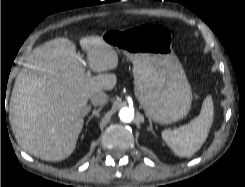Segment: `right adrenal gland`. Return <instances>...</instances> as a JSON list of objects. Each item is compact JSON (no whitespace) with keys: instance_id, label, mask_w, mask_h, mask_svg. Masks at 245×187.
Segmentation results:
<instances>
[{"instance_id":"1","label":"right adrenal gland","mask_w":245,"mask_h":187,"mask_svg":"<svg viewBox=\"0 0 245 187\" xmlns=\"http://www.w3.org/2000/svg\"><path fill=\"white\" fill-rule=\"evenodd\" d=\"M102 110V107H99L98 109H94L92 111V114L89 116L88 120L86 121V125H88V123L90 122V120L95 116V117H99V112Z\"/></svg>"}]
</instances>
